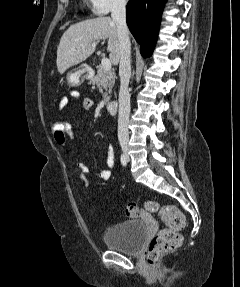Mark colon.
Here are the masks:
<instances>
[{
  "label": "colon",
  "instance_id": "5ec220e1",
  "mask_svg": "<svg viewBox=\"0 0 240 287\" xmlns=\"http://www.w3.org/2000/svg\"><path fill=\"white\" fill-rule=\"evenodd\" d=\"M70 130L71 124L66 119H56L51 123V131L57 140L66 139ZM79 184L87 187V180L83 175L79 177ZM142 211L157 213L166 225L153 237L147 251V262L150 265H156L162 256L181 245L180 231L185 227V216L177 206L159 205L155 201H148L143 207L136 202H130L125 210L129 218H137Z\"/></svg>",
  "mask_w": 240,
  "mask_h": 287
}]
</instances>
